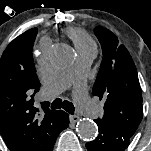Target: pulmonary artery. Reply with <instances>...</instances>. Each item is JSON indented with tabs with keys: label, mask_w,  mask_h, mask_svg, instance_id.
<instances>
[{
	"label": "pulmonary artery",
	"mask_w": 151,
	"mask_h": 151,
	"mask_svg": "<svg viewBox=\"0 0 151 151\" xmlns=\"http://www.w3.org/2000/svg\"><path fill=\"white\" fill-rule=\"evenodd\" d=\"M95 56L96 49L79 52L75 67L59 79L48 83L44 89L47 93L55 95L63 91L72 83L74 85V97L77 104L92 118L100 115V108L88 97L86 75Z\"/></svg>",
	"instance_id": "pulmonary-artery-1"
}]
</instances>
